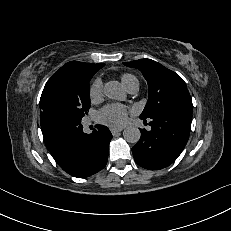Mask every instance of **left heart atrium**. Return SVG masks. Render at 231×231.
<instances>
[{
	"label": "left heart atrium",
	"instance_id": "obj_1",
	"mask_svg": "<svg viewBox=\"0 0 231 231\" xmlns=\"http://www.w3.org/2000/svg\"><path fill=\"white\" fill-rule=\"evenodd\" d=\"M97 119L109 127L121 128L127 122L128 109L120 104H108L98 112Z\"/></svg>",
	"mask_w": 231,
	"mask_h": 231
}]
</instances>
